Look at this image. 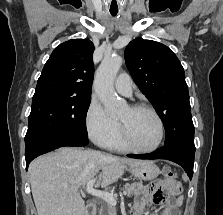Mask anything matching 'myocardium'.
<instances>
[{
  "label": "myocardium",
  "instance_id": "obj_1",
  "mask_svg": "<svg viewBox=\"0 0 223 215\" xmlns=\"http://www.w3.org/2000/svg\"><path fill=\"white\" fill-rule=\"evenodd\" d=\"M130 108L136 109V110H146L154 117L158 126V138L155 144L149 148H145V149L137 148L131 144V142L128 139V136L123 124L119 122V133H118L119 140L121 141L123 146L126 148V150L131 151V152L148 153V152H153L157 150L160 147L163 137H164V126L159 114L156 112V110L153 107H151L150 105L146 103H138L131 106Z\"/></svg>",
  "mask_w": 223,
  "mask_h": 215
}]
</instances>
